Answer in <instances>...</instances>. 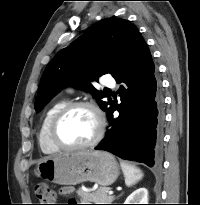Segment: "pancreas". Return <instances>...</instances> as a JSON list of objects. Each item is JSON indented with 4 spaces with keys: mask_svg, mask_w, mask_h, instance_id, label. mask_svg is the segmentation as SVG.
<instances>
[{
    "mask_svg": "<svg viewBox=\"0 0 200 205\" xmlns=\"http://www.w3.org/2000/svg\"><path fill=\"white\" fill-rule=\"evenodd\" d=\"M109 188L100 186L93 192L78 190V195L82 201H89L95 204H110L114 200V196L108 195Z\"/></svg>",
    "mask_w": 200,
    "mask_h": 205,
    "instance_id": "pancreas-1",
    "label": "pancreas"
}]
</instances>
